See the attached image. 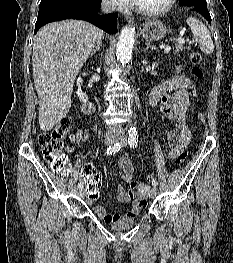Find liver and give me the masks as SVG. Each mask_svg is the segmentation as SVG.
<instances>
[{
	"label": "liver",
	"instance_id": "1",
	"mask_svg": "<svg viewBox=\"0 0 233 263\" xmlns=\"http://www.w3.org/2000/svg\"><path fill=\"white\" fill-rule=\"evenodd\" d=\"M102 35L78 20L49 23L36 34L32 67L42 131L53 129L69 112L75 78Z\"/></svg>",
	"mask_w": 233,
	"mask_h": 263
}]
</instances>
